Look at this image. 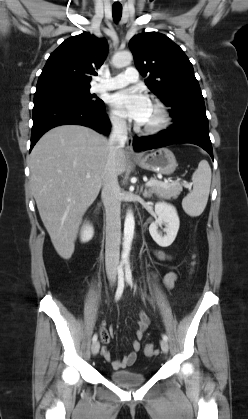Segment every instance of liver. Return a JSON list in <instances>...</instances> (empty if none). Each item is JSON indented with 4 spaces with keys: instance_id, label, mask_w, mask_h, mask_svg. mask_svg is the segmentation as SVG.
<instances>
[{
    "instance_id": "liver-1",
    "label": "liver",
    "mask_w": 248,
    "mask_h": 419,
    "mask_svg": "<svg viewBox=\"0 0 248 419\" xmlns=\"http://www.w3.org/2000/svg\"><path fill=\"white\" fill-rule=\"evenodd\" d=\"M108 140L79 125L49 130L30 154V187L41 220L57 253L70 259L78 227L103 185ZM127 164L122 149L116 156L117 175Z\"/></svg>"
}]
</instances>
